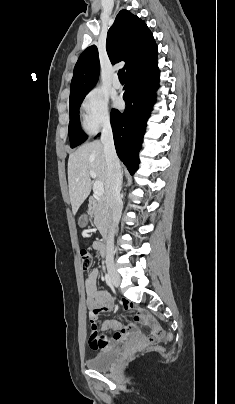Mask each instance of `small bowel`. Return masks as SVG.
<instances>
[{
	"label": "small bowel",
	"instance_id": "1",
	"mask_svg": "<svg viewBox=\"0 0 235 404\" xmlns=\"http://www.w3.org/2000/svg\"><path fill=\"white\" fill-rule=\"evenodd\" d=\"M93 248L99 252H103V245L100 241H95L93 243ZM99 269H93L86 281H85V291L87 295V307L90 311V315H97L100 312H109L114 308V303L111 295L98 289V277ZM122 308L126 311L134 310L136 312V318L138 320L144 319L145 313L141 309H135L128 301L122 302ZM102 330H113L112 338H108L104 335H98V330L96 336L93 337L90 333V345L93 349L99 350L102 347H109L112 345L119 344L123 342L131 331V327L124 326L115 320H107L102 324ZM103 340L102 343H98L99 340Z\"/></svg>",
	"mask_w": 235,
	"mask_h": 404
}]
</instances>
